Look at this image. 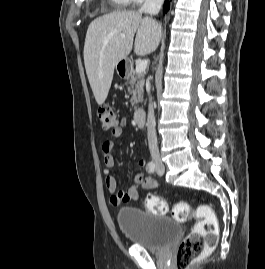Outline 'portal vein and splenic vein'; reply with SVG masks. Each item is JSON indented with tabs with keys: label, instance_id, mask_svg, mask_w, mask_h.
<instances>
[{
	"label": "portal vein and splenic vein",
	"instance_id": "portal-vein-and-splenic-vein-1",
	"mask_svg": "<svg viewBox=\"0 0 265 269\" xmlns=\"http://www.w3.org/2000/svg\"><path fill=\"white\" fill-rule=\"evenodd\" d=\"M147 65H148V61L147 60H141L137 63L136 65V72L137 73H142L146 70L147 68Z\"/></svg>",
	"mask_w": 265,
	"mask_h": 269
}]
</instances>
